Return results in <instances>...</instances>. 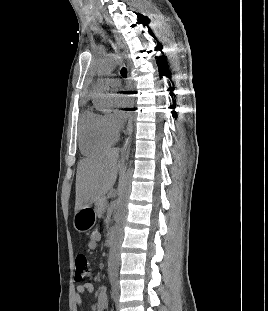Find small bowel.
Wrapping results in <instances>:
<instances>
[{
    "label": "small bowel",
    "instance_id": "obj_1",
    "mask_svg": "<svg viewBox=\"0 0 268 311\" xmlns=\"http://www.w3.org/2000/svg\"><path fill=\"white\" fill-rule=\"evenodd\" d=\"M101 239L99 232H93L90 236V240L87 244V247L90 250H95L98 246V243ZM94 292V285L91 282L79 283L75 288L74 301L75 304L80 307L83 304V296L85 294H92ZM97 302L96 310L104 311L108 306V297L106 289L104 287L100 288L97 292Z\"/></svg>",
    "mask_w": 268,
    "mask_h": 311
}]
</instances>
